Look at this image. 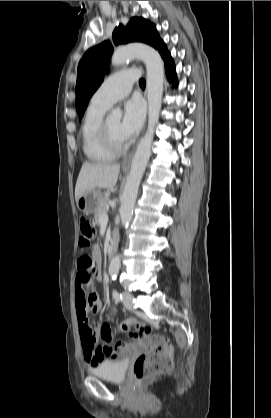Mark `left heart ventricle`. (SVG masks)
Segmentation results:
<instances>
[{
	"mask_svg": "<svg viewBox=\"0 0 271 418\" xmlns=\"http://www.w3.org/2000/svg\"><path fill=\"white\" fill-rule=\"evenodd\" d=\"M108 125L109 128L112 132V134L114 135L115 138L117 139H123L120 133V125H121V121L118 118H109L108 119Z\"/></svg>",
	"mask_w": 271,
	"mask_h": 418,
	"instance_id": "1",
	"label": "left heart ventricle"
}]
</instances>
